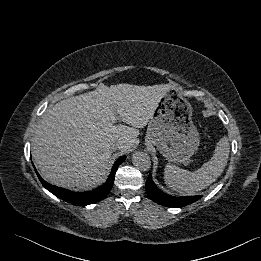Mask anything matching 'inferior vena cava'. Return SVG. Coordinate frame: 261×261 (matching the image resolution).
Instances as JSON below:
<instances>
[{"label": "inferior vena cava", "mask_w": 261, "mask_h": 261, "mask_svg": "<svg viewBox=\"0 0 261 261\" xmlns=\"http://www.w3.org/2000/svg\"><path fill=\"white\" fill-rule=\"evenodd\" d=\"M120 145H121L120 142H116V143L112 144V149L116 150V149H118L120 147Z\"/></svg>", "instance_id": "obj_1"}]
</instances>
